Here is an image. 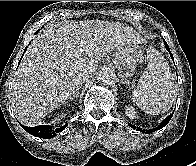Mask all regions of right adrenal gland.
<instances>
[{"label": "right adrenal gland", "mask_w": 196, "mask_h": 166, "mask_svg": "<svg viewBox=\"0 0 196 166\" xmlns=\"http://www.w3.org/2000/svg\"><path fill=\"white\" fill-rule=\"evenodd\" d=\"M80 88H81V86L75 87L73 94L69 96V100H73L75 97H78V95H79L78 91Z\"/></svg>", "instance_id": "1"}]
</instances>
